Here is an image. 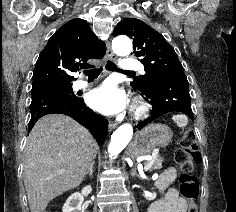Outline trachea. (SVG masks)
I'll use <instances>...</instances> for the list:
<instances>
[{
	"label": "trachea",
	"instance_id": "obj_1",
	"mask_svg": "<svg viewBox=\"0 0 236 212\" xmlns=\"http://www.w3.org/2000/svg\"><path fill=\"white\" fill-rule=\"evenodd\" d=\"M106 69L109 71H116V72H122V73H134L133 71H123L119 69L113 62L107 61ZM102 71V67L100 68H94L89 70H84V74L88 76L89 78H97L100 75V72Z\"/></svg>",
	"mask_w": 236,
	"mask_h": 212
}]
</instances>
